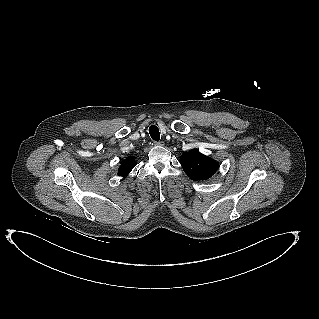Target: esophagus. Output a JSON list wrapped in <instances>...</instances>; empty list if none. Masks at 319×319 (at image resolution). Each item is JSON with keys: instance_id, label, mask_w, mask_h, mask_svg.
Wrapping results in <instances>:
<instances>
[{"instance_id": "34e87169", "label": "esophagus", "mask_w": 319, "mask_h": 319, "mask_svg": "<svg viewBox=\"0 0 319 319\" xmlns=\"http://www.w3.org/2000/svg\"><path fill=\"white\" fill-rule=\"evenodd\" d=\"M154 145H156V146H163V145H164V142H163V141H155V142H154Z\"/></svg>"}]
</instances>
